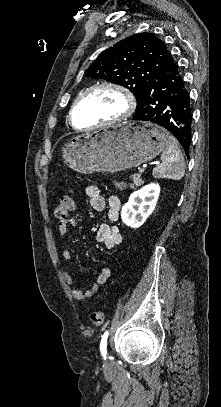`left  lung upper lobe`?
<instances>
[{
	"label": "left lung upper lobe",
	"instance_id": "left-lung-upper-lobe-1",
	"mask_svg": "<svg viewBox=\"0 0 221 407\" xmlns=\"http://www.w3.org/2000/svg\"><path fill=\"white\" fill-rule=\"evenodd\" d=\"M164 42L152 33L129 36L103 51L85 71L129 89L139 101L144 88L172 61Z\"/></svg>",
	"mask_w": 221,
	"mask_h": 407
}]
</instances>
